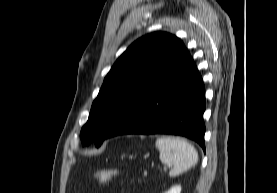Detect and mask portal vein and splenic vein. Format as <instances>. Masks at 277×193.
Wrapping results in <instances>:
<instances>
[{"mask_svg": "<svg viewBox=\"0 0 277 193\" xmlns=\"http://www.w3.org/2000/svg\"><path fill=\"white\" fill-rule=\"evenodd\" d=\"M172 164H168L167 166L164 167V170H167L168 168H171Z\"/></svg>", "mask_w": 277, "mask_h": 193, "instance_id": "1", "label": "portal vein and splenic vein"}]
</instances>
